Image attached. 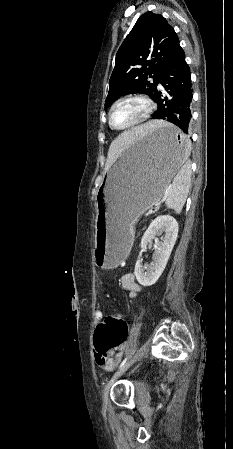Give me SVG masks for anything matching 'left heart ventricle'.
Listing matches in <instances>:
<instances>
[{
  "label": "left heart ventricle",
  "mask_w": 233,
  "mask_h": 449,
  "mask_svg": "<svg viewBox=\"0 0 233 449\" xmlns=\"http://www.w3.org/2000/svg\"><path fill=\"white\" fill-rule=\"evenodd\" d=\"M145 105L135 99L119 103L112 112V123L117 127H124L139 120L145 113Z\"/></svg>",
  "instance_id": "left-heart-ventricle-1"
}]
</instances>
